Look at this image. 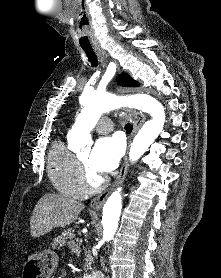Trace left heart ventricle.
I'll list each match as a JSON object with an SVG mask.
<instances>
[{"mask_svg":"<svg viewBox=\"0 0 221 278\" xmlns=\"http://www.w3.org/2000/svg\"><path fill=\"white\" fill-rule=\"evenodd\" d=\"M89 158H90L89 153H83V154L80 155V159L88 166V168L90 169V171L93 173L94 177H95V178H99L100 175H98L96 172H94V171L91 169V167H90V165H89Z\"/></svg>","mask_w":221,"mask_h":278,"instance_id":"b2bd125f","label":"left heart ventricle"}]
</instances>
